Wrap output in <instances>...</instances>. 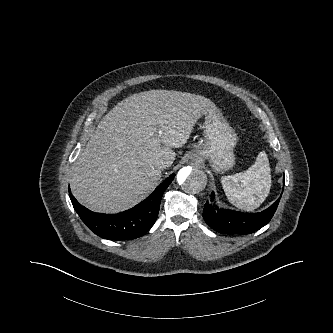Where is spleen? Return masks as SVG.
I'll list each match as a JSON object with an SVG mask.
<instances>
[{
	"instance_id": "spleen-1",
	"label": "spleen",
	"mask_w": 333,
	"mask_h": 333,
	"mask_svg": "<svg viewBox=\"0 0 333 333\" xmlns=\"http://www.w3.org/2000/svg\"><path fill=\"white\" fill-rule=\"evenodd\" d=\"M270 170L267 154L262 151L245 172L223 176L221 183L229 202L246 211L258 208L270 192Z\"/></svg>"
}]
</instances>
